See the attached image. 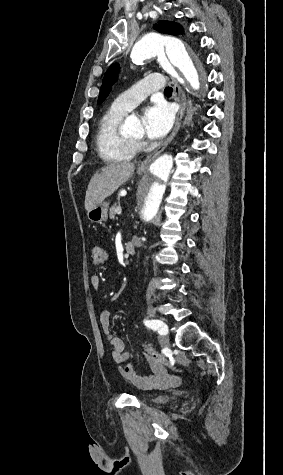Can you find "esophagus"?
I'll use <instances>...</instances> for the list:
<instances>
[{
    "mask_svg": "<svg viewBox=\"0 0 283 475\" xmlns=\"http://www.w3.org/2000/svg\"><path fill=\"white\" fill-rule=\"evenodd\" d=\"M172 83H173V86H174V91H173L174 98L179 104V110H178L177 115H176V120H175L173 130H172L171 134L169 135V137L160 145V147L157 148L154 152L150 153L145 158V160H143L140 163V165L138 166V171L145 170L147 167H149L151 162L153 160H155V158L161 152H163V150H165L167 145L173 140V138L176 136V134L178 133V130L180 128L181 120L184 116V113H185V110H186V107H187V100H186V96H185L184 91L181 89V87L177 83V81L172 79Z\"/></svg>",
    "mask_w": 283,
    "mask_h": 475,
    "instance_id": "34e87169",
    "label": "esophagus"
}]
</instances>
